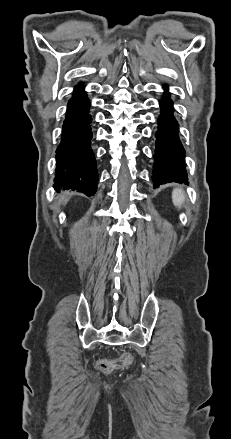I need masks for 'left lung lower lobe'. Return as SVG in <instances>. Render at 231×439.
I'll return each instance as SVG.
<instances>
[{"label":"left lung lower lobe","mask_w":231,"mask_h":439,"mask_svg":"<svg viewBox=\"0 0 231 439\" xmlns=\"http://www.w3.org/2000/svg\"><path fill=\"white\" fill-rule=\"evenodd\" d=\"M161 114L156 132L154 154V187L168 182L186 183L187 173L184 161V148L178 137V123L173 116V103L166 91L160 100Z\"/></svg>","instance_id":"0a47b994"}]
</instances>
